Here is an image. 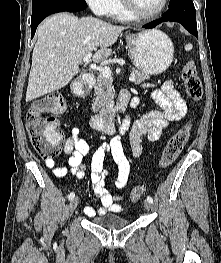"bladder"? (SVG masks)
Instances as JSON below:
<instances>
[{"label": "bladder", "instance_id": "1", "mask_svg": "<svg viewBox=\"0 0 221 263\" xmlns=\"http://www.w3.org/2000/svg\"><path fill=\"white\" fill-rule=\"evenodd\" d=\"M93 224L104 229H120L129 225V221L117 214H103L92 220Z\"/></svg>", "mask_w": 221, "mask_h": 263}]
</instances>
